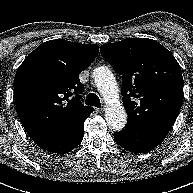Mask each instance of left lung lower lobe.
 Segmentation results:
<instances>
[{
	"label": "left lung lower lobe",
	"instance_id": "1",
	"mask_svg": "<svg viewBox=\"0 0 193 193\" xmlns=\"http://www.w3.org/2000/svg\"><path fill=\"white\" fill-rule=\"evenodd\" d=\"M171 126L150 124L126 126L114 134V140L124 149L134 153H145L157 147L167 136Z\"/></svg>",
	"mask_w": 193,
	"mask_h": 193
}]
</instances>
